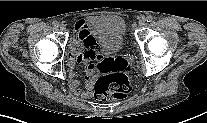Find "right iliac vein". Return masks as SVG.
I'll return each instance as SVG.
<instances>
[{"label":"right iliac vein","instance_id":"right-iliac-vein-1","mask_svg":"<svg viewBox=\"0 0 207 123\" xmlns=\"http://www.w3.org/2000/svg\"><path fill=\"white\" fill-rule=\"evenodd\" d=\"M59 29L61 31H65L66 30V26L64 24L59 25Z\"/></svg>","mask_w":207,"mask_h":123}]
</instances>
